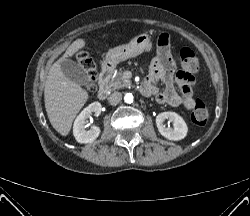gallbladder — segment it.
Masks as SVG:
<instances>
[{
    "label": "gallbladder",
    "mask_w": 250,
    "mask_h": 216,
    "mask_svg": "<svg viewBox=\"0 0 250 216\" xmlns=\"http://www.w3.org/2000/svg\"><path fill=\"white\" fill-rule=\"evenodd\" d=\"M64 74L73 82L79 85H87L90 81L86 70L72 60H65L61 63Z\"/></svg>",
    "instance_id": "1"
}]
</instances>
